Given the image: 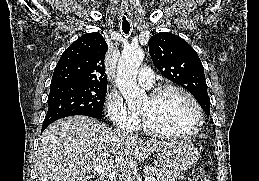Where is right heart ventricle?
<instances>
[{
    "label": "right heart ventricle",
    "instance_id": "e07e8e85",
    "mask_svg": "<svg viewBox=\"0 0 259 181\" xmlns=\"http://www.w3.org/2000/svg\"><path fill=\"white\" fill-rule=\"evenodd\" d=\"M139 127H140V122H139V119H138V122H137L136 128H139Z\"/></svg>",
    "mask_w": 259,
    "mask_h": 181
}]
</instances>
